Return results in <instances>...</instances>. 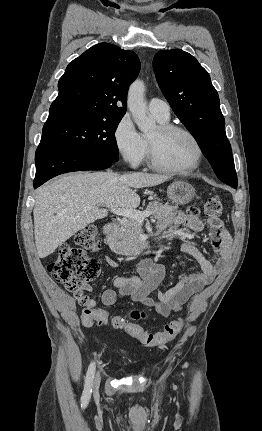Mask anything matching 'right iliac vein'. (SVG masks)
Returning a JSON list of instances; mask_svg holds the SVG:
<instances>
[{"instance_id":"63e3f726","label":"right iliac vein","mask_w":262,"mask_h":431,"mask_svg":"<svg viewBox=\"0 0 262 431\" xmlns=\"http://www.w3.org/2000/svg\"><path fill=\"white\" fill-rule=\"evenodd\" d=\"M100 384V374L97 373L94 380V388H97Z\"/></svg>"}]
</instances>
